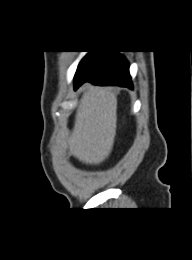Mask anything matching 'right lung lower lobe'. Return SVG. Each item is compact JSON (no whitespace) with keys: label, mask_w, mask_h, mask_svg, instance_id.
<instances>
[{"label":"right lung lower lobe","mask_w":192,"mask_h":260,"mask_svg":"<svg viewBox=\"0 0 192 260\" xmlns=\"http://www.w3.org/2000/svg\"><path fill=\"white\" fill-rule=\"evenodd\" d=\"M84 82L133 88L129 64L125 57L116 51H90L77 68L75 89Z\"/></svg>","instance_id":"98d812e1"}]
</instances>
